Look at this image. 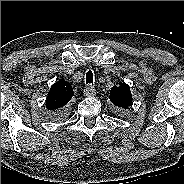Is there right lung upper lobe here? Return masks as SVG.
I'll return each mask as SVG.
<instances>
[{
    "instance_id": "right-lung-upper-lobe-1",
    "label": "right lung upper lobe",
    "mask_w": 184,
    "mask_h": 184,
    "mask_svg": "<svg viewBox=\"0 0 184 184\" xmlns=\"http://www.w3.org/2000/svg\"><path fill=\"white\" fill-rule=\"evenodd\" d=\"M73 95L71 84L65 80H59L51 86L48 92L46 108L53 114L58 113L64 109Z\"/></svg>"
}]
</instances>
